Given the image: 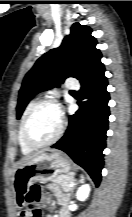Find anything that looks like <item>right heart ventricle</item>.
<instances>
[{
  "mask_svg": "<svg viewBox=\"0 0 132 217\" xmlns=\"http://www.w3.org/2000/svg\"><path fill=\"white\" fill-rule=\"evenodd\" d=\"M35 103H36L35 99H32L31 101L28 102L23 112L22 119H21L20 126H19L18 143H19L20 149L23 154H29L33 151V149H30L29 147H27L22 140V126H23V123H24V120L27 114L29 113V111L31 110V108L33 107Z\"/></svg>",
  "mask_w": 132,
  "mask_h": 217,
  "instance_id": "right-heart-ventricle-1",
  "label": "right heart ventricle"
}]
</instances>
